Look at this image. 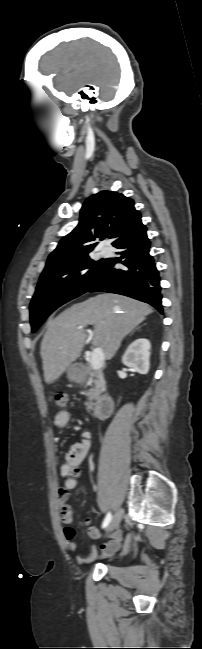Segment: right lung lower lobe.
Returning a JSON list of instances; mask_svg holds the SVG:
<instances>
[{"label": "right lung lower lobe", "mask_w": 202, "mask_h": 649, "mask_svg": "<svg viewBox=\"0 0 202 649\" xmlns=\"http://www.w3.org/2000/svg\"><path fill=\"white\" fill-rule=\"evenodd\" d=\"M127 269H117L116 261L107 260L86 292L117 293L149 303L163 313L159 271L150 255L146 228L114 245Z\"/></svg>", "instance_id": "1"}]
</instances>
